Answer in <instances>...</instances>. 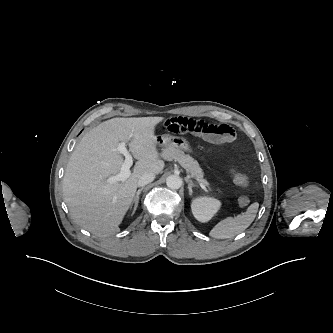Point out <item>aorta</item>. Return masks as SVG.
Returning <instances> with one entry per match:
<instances>
[{
	"instance_id": "aorta-1",
	"label": "aorta",
	"mask_w": 333,
	"mask_h": 333,
	"mask_svg": "<svg viewBox=\"0 0 333 333\" xmlns=\"http://www.w3.org/2000/svg\"><path fill=\"white\" fill-rule=\"evenodd\" d=\"M166 184L170 189H179L182 186V179L179 176L171 175L167 177Z\"/></svg>"
}]
</instances>
